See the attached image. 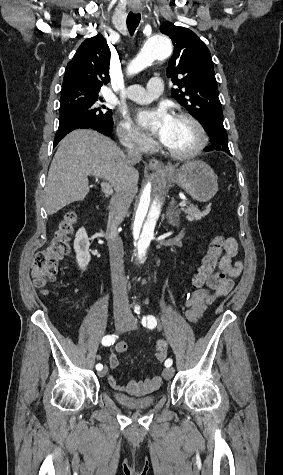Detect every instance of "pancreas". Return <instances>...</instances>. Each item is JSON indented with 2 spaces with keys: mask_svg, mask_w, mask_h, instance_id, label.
Returning a JSON list of instances; mask_svg holds the SVG:
<instances>
[{
  "mask_svg": "<svg viewBox=\"0 0 283 475\" xmlns=\"http://www.w3.org/2000/svg\"><path fill=\"white\" fill-rule=\"evenodd\" d=\"M182 212L188 214V216H186L188 222H193V220H201V218H205V216H207V214H209L210 212V206H207L204 212H200L197 206H193V204H191V206H187V208H184Z\"/></svg>",
  "mask_w": 283,
  "mask_h": 475,
  "instance_id": "obj_1",
  "label": "pancreas"
}]
</instances>
